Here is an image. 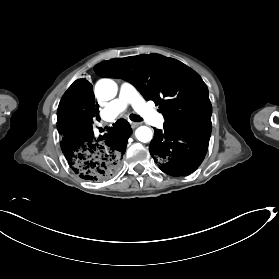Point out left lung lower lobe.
<instances>
[{"label": "left lung lower lobe", "instance_id": "0a47b994", "mask_svg": "<svg viewBox=\"0 0 279 279\" xmlns=\"http://www.w3.org/2000/svg\"><path fill=\"white\" fill-rule=\"evenodd\" d=\"M211 131H186L170 127L155 129L149 151L160 169L171 176H186L202 163Z\"/></svg>", "mask_w": 279, "mask_h": 279}]
</instances>
